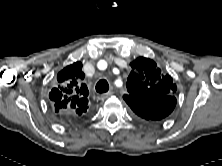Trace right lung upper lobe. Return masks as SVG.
I'll return each instance as SVG.
<instances>
[{
  "label": "right lung upper lobe",
  "mask_w": 222,
  "mask_h": 166,
  "mask_svg": "<svg viewBox=\"0 0 222 166\" xmlns=\"http://www.w3.org/2000/svg\"><path fill=\"white\" fill-rule=\"evenodd\" d=\"M84 77L82 63L79 61L66 66L58 73L57 86L49 94L50 103L58 116L63 118L85 116L88 109V89L81 83Z\"/></svg>",
  "instance_id": "obj_1"
}]
</instances>
